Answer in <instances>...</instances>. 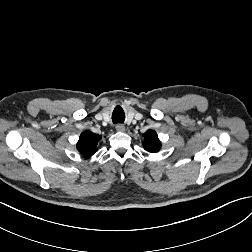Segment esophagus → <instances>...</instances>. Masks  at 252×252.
Instances as JSON below:
<instances>
[{"instance_id":"obj_1","label":"esophagus","mask_w":252,"mask_h":252,"mask_svg":"<svg viewBox=\"0 0 252 252\" xmlns=\"http://www.w3.org/2000/svg\"><path fill=\"white\" fill-rule=\"evenodd\" d=\"M116 130L118 132H124L125 131V126L123 124H117L116 125Z\"/></svg>"}]
</instances>
